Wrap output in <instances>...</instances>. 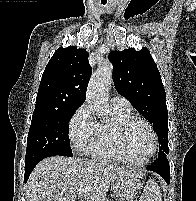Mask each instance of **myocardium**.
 <instances>
[{
    "label": "myocardium",
    "instance_id": "1",
    "mask_svg": "<svg viewBox=\"0 0 196 201\" xmlns=\"http://www.w3.org/2000/svg\"><path fill=\"white\" fill-rule=\"evenodd\" d=\"M135 123H142L145 126H147V128L149 129V131L151 133V138H152V148H151L149 155L145 159L140 160V161H135L134 159H132L128 146H127L128 131ZM116 136H117L118 146H119L123 156L125 157L127 162L131 165L144 166L152 160V158L155 156V154L157 152V149H158L157 132H156L154 126L145 118L132 116V117L122 121L117 127Z\"/></svg>",
    "mask_w": 196,
    "mask_h": 201
}]
</instances>
